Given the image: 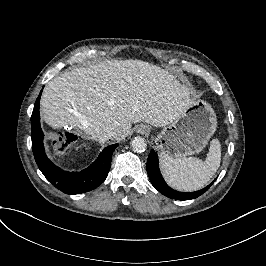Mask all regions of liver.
Listing matches in <instances>:
<instances>
[{"mask_svg":"<svg viewBox=\"0 0 266 266\" xmlns=\"http://www.w3.org/2000/svg\"><path fill=\"white\" fill-rule=\"evenodd\" d=\"M189 91L165 70L139 60H105L51 80L41 98L46 123L70 127L96 140L115 129L113 140L127 137L131 123L163 128L194 103Z\"/></svg>","mask_w":266,"mask_h":266,"instance_id":"1","label":"liver"}]
</instances>
